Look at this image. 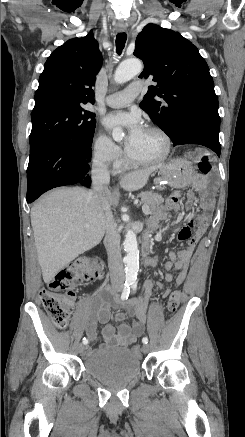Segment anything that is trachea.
<instances>
[{
  "instance_id": "obj_1",
  "label": "trachea",
  "mask_w": 245,
  "mask_h": 437,
  "mask_svg": "<svg viewBox=\"0 0 245 437\" xmlns=\"http://www.w3.org/2000/svg\"><path fill=\"white\" fill-rule=\"evenodd\" d=\"M126 40H127V35L125 32H121V33L117 34V36H116V52L118 55H121V53L124 49Z\"/></svg>"
}]
</instances>
